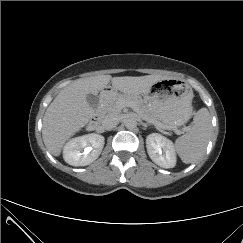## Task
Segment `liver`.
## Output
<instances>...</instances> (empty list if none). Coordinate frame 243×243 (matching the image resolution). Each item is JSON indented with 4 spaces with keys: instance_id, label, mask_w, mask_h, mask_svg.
<instances>
[{
    "instance_id": "obj_1",
    "label": "liver",
    "mask_w": 243,
    "mask_h": 243,
    "mask_svg": "<svg viewBox=\"0 0 243 243\" xmlns=\"http://www.w3.org/2000/svg\"><path fill=\"white\" fill-rule=\"evenodd\" d=\"M161 75L140 77L110 75L78 79L59 92L47 108L42 126V137L48 151L59 156L65 142L83 128L93 117L94 110L87 102V95H97L111 81L113 90L138 97L155 83L165 80Z\"/></svg>"
}]
</instances>
